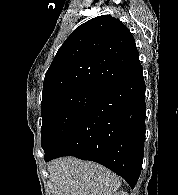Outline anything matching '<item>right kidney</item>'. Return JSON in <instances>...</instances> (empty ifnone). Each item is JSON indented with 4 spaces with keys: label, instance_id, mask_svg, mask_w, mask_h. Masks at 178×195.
I'll return each mask as SVG.
<instances>
[{
    "label": "right kidney",
    "instance_id": "obj_1",
    "mask_svg": "<svg viewBox=\"0 0 178 195\" xmlns=\"http://www.w3.org/2000/svg\"><path fill=\"white\" fill-rule=\"evenodd\" d=\"M113 195H128V194L127 192L119 191V192H115Z\"/></svg>",
    "mask_w": 178,
    "mask_h": 195
}]
</instances>
